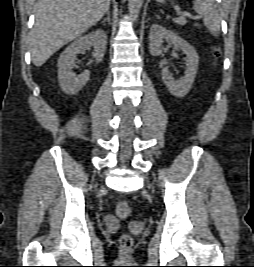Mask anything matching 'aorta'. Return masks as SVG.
<instances>
[{
	"mask_svg": "<svg viewBox=\"0 0 254 267\" xmlns=\"http://www.w3.org/2000/svg\"><path fill=\"white\" fill-rule=\"evenodd\" d=\"M144 0H128L129 15L133 20H137Z\"/></svg>",
	"mask_w": 254,
	"mask_h": 267,
	"instance_id": "aorta-1",
	"label": "aorta"
}]
</instances>
